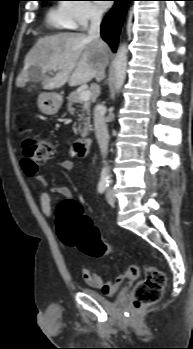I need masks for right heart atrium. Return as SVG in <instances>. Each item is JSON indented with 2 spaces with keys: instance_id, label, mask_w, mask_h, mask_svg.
<instances>
[{
  "instance_id": "right-heart-atrium-1",
  "label": "right heart atrium",
  "mask_w": 193,
  "mask_h": 349,
  "mask_svg": "<svg viewBox=\"0 0 193 349\" xmlns=\"http://www.w3.org/2000/svg\"><path fill=\"white\" fill-rule=\"evenodd\" d=\"M65 9L72 21L73 27L85 29L91 22L100 20L103 11L91 0H68Z\"/></svg>"
}]
</instances>
